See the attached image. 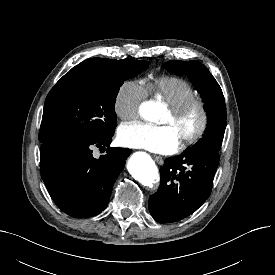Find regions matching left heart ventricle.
<instances>
[{"label": "left heart ventricle", "instance_id": "b2bd125f", "mask_svg": "<svg viewBox=\"0 0 275 275\" xmlns=\"http://www.w3.org/2000/svg\"><path fill=\"white\" fill-rule=\"evenodd\" d=\"M200 122V113L197 109L189 111L186 115L180 119H173L169 111L166 112L165 116L161 120V124L170 126L179 142L192 134L198 127Z\"/></svg>", "mask_w": 275, "mask_h": 275}]
</instances>
